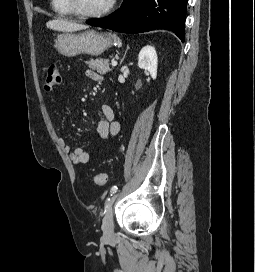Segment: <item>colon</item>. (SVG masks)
Returning a JSON list of instances; mask_svg holds the SVG:
<instances>
[{
    "instance_id": "1",
    "label": "colon",
    "mask_w": 255,
    "mask_h": 272,
    "mask_svg": "<svg viewBox=\"0 0 255 272\" xmlns=\"http://www.w3.org/2000/svg\"><path fill=\"white\" fill-rule=\"evenodd\" d=\"M61 84V74L59 70V66L56 64L50 65L47 67L45 80H44V88L47 91H55L59 88ZM107 175L104 173L97 174L93 182L97 186H103L107 183Z\"/></svg>"
}]
</instances>
